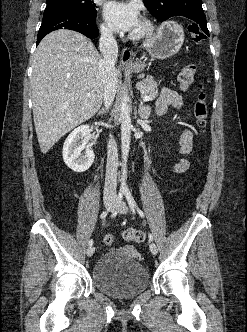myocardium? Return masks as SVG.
<instances>
[{
    "label": "myocardium",
    "mask_w": 247,
    "mask_h": 332,
    "mask_svg": "<svg viewBox=\"0 0 247 332\" xmlns=\"http://www.w3.org/2000/svg\"><path fill=\"white\" fill-rule=\"evenodd\" d=\"M141 28L131 34V39L142 40L150 36L154 30L153 22L148 18L141 20Z\"/></svg>",
    "instance_id": "myocardium-1"
}]
</instances>
